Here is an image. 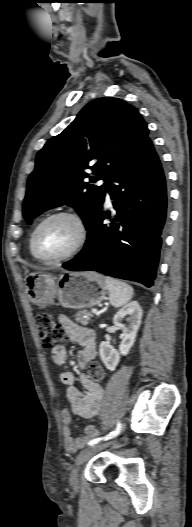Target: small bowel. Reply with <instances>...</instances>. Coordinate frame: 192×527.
I'll return each mask as SVG.
<instances>
[{
	"label": "small bowel",
	"mask_w": 192,
	"mask_h": 527,
	"mask_svg": "<svg viewBox=\"0 0 192 527\" xmlns=\"http://www.w3.org/2000/svg\"><path fill=\"white\" fill-rule=\"evenodd\" d=\"M59 322L63 326L68 338L81 345L82 348L77 353V364L79 368L84 369L96 357V335L94 331L75 324L64 315L59 317ZM51 353L56 365L62 366L65 364L67 349L63 345L54 346ZM59 379L67 386L65 396L69 407L62 410L61 417L63 422L64 446L67 451L71 452L83 447L87 439L96 434V429L88 426L84 434L73 439L71 436L72 415H77L83 419L97 417L101 411L104 390L100 384L92 382L87 375L81 374L80 382L84 388L81 391L75 385V375L69 370L60 371Z\"/></svg>",
	"instance_id": "c3829d8e"
}]
</instances>
